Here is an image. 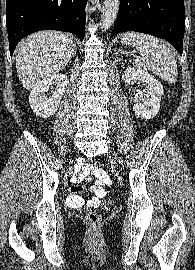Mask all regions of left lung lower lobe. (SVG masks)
<instances>
[{"label": "left lung lower lobe", "mask_w": 195, "mask_h": 270, "mask_svg": "<svg viewBox=\"0 0 195 270\" xmlns=\"http://www.w3.org/2000/svg\"><path fill=\"white\" fill-rule=\"evenodd\" d=\"M126 31L164 38L182 55L184 0H121L111 36Z\"/></svg>", "instance_id": "left-lung-lower-lobe-1"}]
</instances>
